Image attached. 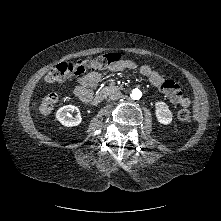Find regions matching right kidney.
I'll return each instance as SVG.
<instances>
[{
	"label": "right kidney",
	"instance_id": "1",
	"mask_svg": "<svg viewBox=\"0 0 221 221\" xmlns=\"http://www.w3.org/2000/svg\"><path fill=\"white\" fill-rule=\"evenodd\" d=\"M68 111H72V112L77 111L78 114L76 118L74 119L67 118L66 114ZM56 118L63 126H66V127L77 126L81 123V120H82L79 109L74 105H66L58 109V111L56 112Z\"/></svg>",
	"mask_w": 221,
	"mask_h": 221
}]
</instances>
